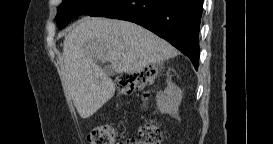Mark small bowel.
I'll list each match as a JSON object with an SVG mask.
<instances>
[{"label":"small bowel","instance_id":"obj_1","mask_svg":"<svg viewBox=\"0 0 273 144\" xmlns=\"http://www.w3.org/2000/svg\"><path fill=\"white\" fill-rule=\"evenodd\" d=\"M125 144H127V143H131L130 141H126V142H124Z\"/></svg>","mask_w":273,"mask_h":144}]
</instances>
